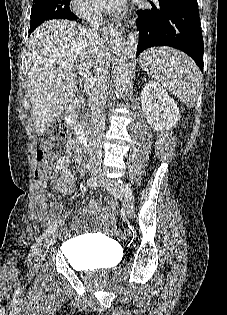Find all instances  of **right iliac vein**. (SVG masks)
Listing matches in <instances>:
<instances>
[{"instance_id":"63e3f726","label":"right iliac vein","mask_w":227,"mask_h":315,"mask_svg":"<svg viewBox=\"0 0 227 315\" xmlns=\"http://www.w3.org/2000/svg\"><path fill=\"white\" fill-rule=\"evenodd\" d=\"M58 233H59L58 230L52 233L50 238H48L47 241L45 242L44 248H47L50 244H52L55 241L56 237L58 236ZM43 259H44V250L40 249L35 255L34 262H33L34 267L35 268L39 267Z\"/></svg>"}]
</instances>
